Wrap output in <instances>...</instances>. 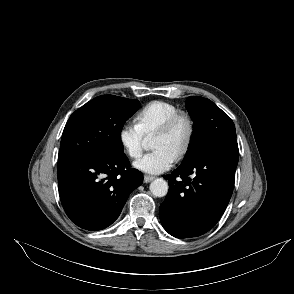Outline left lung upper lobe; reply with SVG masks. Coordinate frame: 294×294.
<instances>
[{
    "instance_id": "1",
    "label": "left lung upper lobe",
    "mask_w": 294,
    "mask_h": 294,
    "mask_svg": "<svg viewBox=\"0 0 294 294\" xmlns=\"http://www.w3.org/2000/svg\"><path fill=\"white\" fill-rule=\"evenodd\" d=\"M186 108L194 121V134L181 165L191 162L218 141L236 138L233 121L211 100L190 96L187 98Z\"/></svg>"
}]
</instances>
